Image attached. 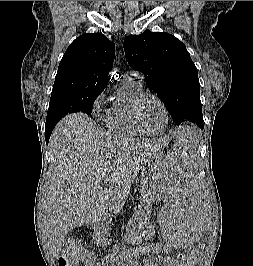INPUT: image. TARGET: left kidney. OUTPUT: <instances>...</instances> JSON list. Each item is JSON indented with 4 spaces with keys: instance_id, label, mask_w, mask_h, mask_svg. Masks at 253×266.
<instances>
[{
    "instance_id": "left-kidney-1",
    "label": "left kidney",
    "mask_w": 253,
    "mask_h": 266,
    "mask_svg": "<svg viewBox=\"0 0 253 266\" xmlns=\"http://www.w3.org/2000/svg\"><path fill=\"white\" fill-rule=\"evenodd\" d=\"M147 233H148V235H153L155 233V231L154 230H150Z\"/></svg>"
}]
</instances>
